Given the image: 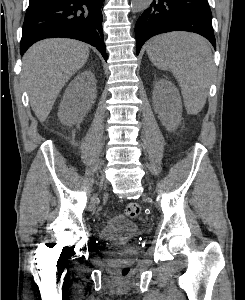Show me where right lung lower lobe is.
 Instances as JSON below:
<instances>
[{
  "mask_svg": "<svg viewBox=\"0 0 245 300\" xmlns=\"http://www.w3.org/2000/svg\"><path fill=\"white\" fill-rule=\"evenodd\" d=\"M103 0H39L29 3L20 53L35 42L52 37L73 38L96 47L107 60L103 43Z\"/></svg>",
  "mask_w": 245,
  "mask_h": 300,
  "instance_id": "obj_1",
  "label": "right lung lower lobe"
}]
</instances>
